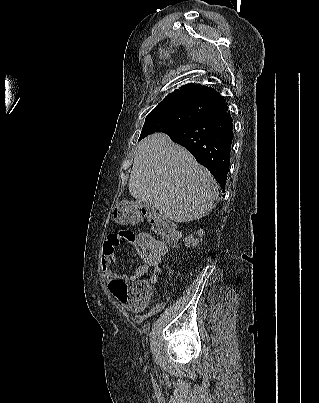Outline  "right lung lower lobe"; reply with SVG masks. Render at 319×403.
<instances>
[{"label": "right lung lower lobe", "instance_id": "obj_1", "mask_svg": "<svg viewBox=\"0 0 319 403\" xmlns=\"http://www.w3.org/2000/svg\"><path fill=\"white\" fill-rule=\"evenodd\" d=\"M158 132L166 133L172 141L188 149L225 190L233 139V120L227 111Z\"/></svg>", "mask_w": 319, "mask_h": 403}]
</instances>
